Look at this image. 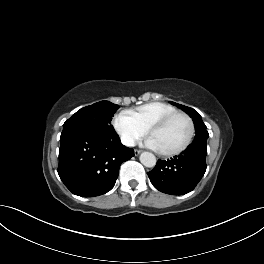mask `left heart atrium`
<instances>
[{
  "mask_svg": "<svg viewBox=\"0 0 264 264\" xmlns=\"http://www.w3.org/2000/svg\"><path fill=\"white\" fill-rule=\"evenodd\" d=\"M145 145L148 147V148H151L153 150H159V147L156 143V141L150 137L148 138L146 141H145Z\"/></svg>",
  "mask_w": 264,
  "mask_h": 264,
  "instance_id": "39dd6f15",
  "label": "left heart atrium"
}]
</instances>
